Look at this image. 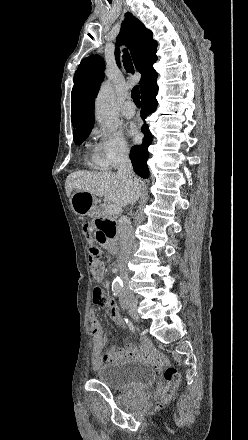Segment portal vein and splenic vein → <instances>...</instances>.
<instances>
[{
  "label": "portal vein and splenic vein",
  "instance_id": "obj_1",
  "mask_svg": "<svg viewBox=\"0 0 248 440\" xmlns=\"http://www.w3.org/2000/svg\"><path fill=\"white\" fill-rule=\"evenodd\" d=\"M106 213H108L109 215H118L121 213L122 208L119 205L116 204H109L106 206Z\"/></svg>",
  "mask_w": 248,
  "mask_h": 440
}]
</instances>
